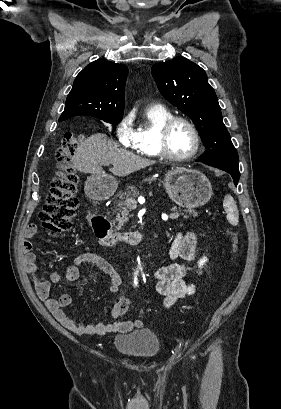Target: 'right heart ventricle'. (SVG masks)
<instances>
[{
  "instance_id": "1",
  "label": "right heart ventricle",
  "mask_w": 281,
  "mask_h": 409,
  "mask_svg": "<svg viewBox=\"0 0 281 409\" xmlns=\"http://www.w3.org/2000/svg\"><path fill=\"white\" fill-rule=\"evenodd\" d=\"M173 114L165 108H151L147 110V122L141 124L134 131L132 150L145 157H160L156 146V137L162 124Z\"/></svg>"
}]
</instances>
